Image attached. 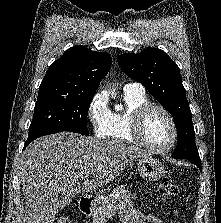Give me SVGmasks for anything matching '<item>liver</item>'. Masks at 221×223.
I'll return each instance as SVG.
<instances>
[{"instance_id":"6515ba94","label":"liver","mask_w":221,"mask_h":223,"mask_svg":"<svg viewBox=\"0 0 221 223\" xmlns=\"http://www.w3.org/2000/svg\"><path fill=\"white\" fill-rule=\"evenodd\" d=\"M139 147L70 132L40 137L23 152L19 174L25 197L23 223H54L63 206L59 194L73 197L110 183L135 159ZM91 175L81 186L79 178Z\"/></svg>"}]
</instances>
